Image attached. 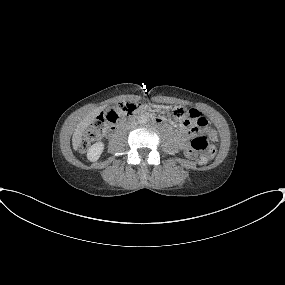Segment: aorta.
Here are the masks:
<instances>
[{
	"mask_svg": "<svg viewBox=\"0 0 285 285\" xmlns=\"http://www.w3.org/2000/svg\"><path fill=\"white\" fill-rule=\"evenodd\" d=\"M147 121H148V119H147V116H146V115H141V116H139V118H138V122H139L140 124H146Z\"/></svg>",
	"mask_w": 285,
	"mask_h": 285,
	"instance_id": "1",
	"label": "aorta"
}]
</instances>
